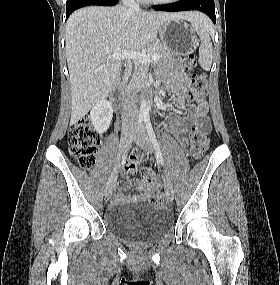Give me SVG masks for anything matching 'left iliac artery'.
Returning <instances> with one entry per match:
<instances>
[{"mask_svg":"<svg viewBox=\"0 0 280 285\" xmlns=\"http://www.w3.org/2000/svg\"><path fill=\"white\" fill-rule=\"evenodd\" d=\"M144 121H145V125H146V129H147L148 135H149L150 140L152 142V145H153V147H154V149L156 151L157 160H158L159 163H161L163 165L164 164L163 156H162V153H161V150H160V146H159L158 140L156 138L155 132H154V130L152 128V125H151L149 117H145Z\"/></svg>","mask_w":280,"mask_h":285,"instance_id":"left-iliac-artery-1","label":"left iliac artery"}]
</instances>
